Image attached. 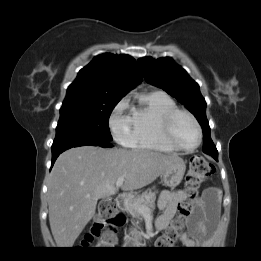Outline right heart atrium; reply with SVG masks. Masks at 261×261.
Segmentation results:
<instances>
[{
	"instance_id": "d8ad5b80",
	"label": "right heart atrium",
	"mask_w": 261,
	"mask_h": 261,
	"mask_svg": "<svg viewBox=\"0 0 261 261\" xmlns=\"http://www.w3.org/2000/svg\"><path fill=\"white\" fill-rule=\"evenodd\" d=\"M127 100H121L110 117V128L113 136L121 144L128 145L131 138V123L129 116L125 115Z\"/></svg>"
}]
</instances>
